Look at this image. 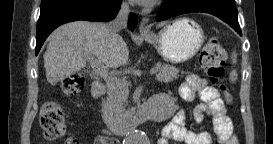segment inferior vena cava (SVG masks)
I'll use <instances>...</instances> for the list:
<instances>
[{
    "label": "inferior vena cava",
    "mask_w": 273,
    "mask_h": 144,
    "mask_svg": "<svg viewBox=\"0 0 273 144\" xmlns=\"http://www.w3.org/2000/svg\"><path fill=\"white\" fill-rule=\"evenodd\" d=\"M130 8L127 1H123L116 18L109 23V31L113 36L127 25Z\"/></svg>",
    "instance_id": "inferior-vena-cava-1"
}]
</instances>
